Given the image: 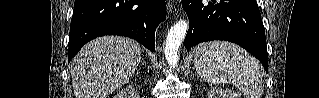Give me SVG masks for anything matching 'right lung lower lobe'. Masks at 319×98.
Returning a JSON list of instances; mask_svg holds the SVG:
<instances>
[{
    "label": "right lung lower lobe",
    "instance_id": "obj_1",
    "mask_svg": "<svg viewBox=\"0 0 319 98\" xmlns=\"http://www.w3.org/2000/svg\"><path fill=\"white\" fill-rule=\"evenodd\" d=\"M165 18V0H75L68 62L88 41L104 35L133 38L154 52L155 29Z\"/></svg>",
    "mask_w": 319,
    "mask_h": 98
}]
</instances>
